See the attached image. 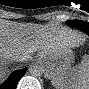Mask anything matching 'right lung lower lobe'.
<instances>
[{
    "label": "right lung lower lobe",
    "instance_id": "right-lung-lower-lobe-1",
    "mask_svg": "<svg viewBox=\"0 0 89 89\" xmlns=\"http://www.w3.org/2000/svg\"><path fill=\"white\" fill-rule=\"evenodd\" d=\"M26 69H22V70H17L14 71L10 78L8 80H6L2 86L8 88V89H14L16 88V85L18 83V80L25 74Z\"/></svg>",
    "mask_w": 89,
    "mask_h": 89
}]
</instances>
